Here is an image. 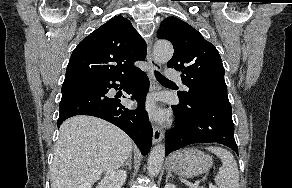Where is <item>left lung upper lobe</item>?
I'll return each instance as SVG.
<instances>
[{"mask_svg":"<svg viewBox=\"0 0 292 188\" xmlns=\"http://www.w3.org/2000/svg\"><path fill=\"white\" fill-rule=\"evenodd\" d=\"M158 38L169 40L174 47L169 68L181 71L188 91L178 92L183 101L228 102L225 70L217 49L186 22L168 17L161 23Z\"/></svg>","mask_w":292,"mask_h":188,"instance_id":"left-lung-upper-lobe-1","label":"left lung upper lobe"}]
</instances>
